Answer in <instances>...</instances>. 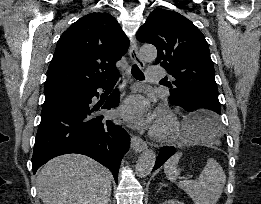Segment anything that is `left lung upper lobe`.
I'll return each instance as SVG.
<instances>
[{
	"instance_id": "obj_1",
	"label": "left lung upper lobe",
	"mask_w": 261,
	"mask_h": 204,
	"mask_svg": "<svg viewBox=\"0 0 261 204\" xmlns=\"http://www.w3.org/2000/svg\"><path fill=\"white\" fill-rule=\"evenodd\" d=\"M137 39L157 48L155 64L176 79L169 86L171 102L182 108L201 106L219 121L221 110L214 66L201 31L175 11L155 9L139 28Z\"/></svg>"
}]
</instances>
